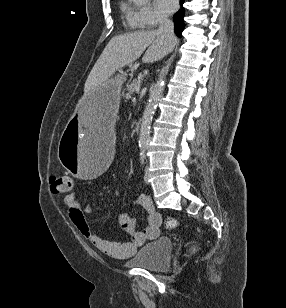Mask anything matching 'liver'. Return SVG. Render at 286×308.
I'll return each instance as SVG.
<instances>
[{
	"label": "liver",
	"mask_w": 286,
	"mask_h": 308,
	"mask_svg": "<svg viewBox=\"0 0 286 308\" xmlns=\"http://www.w3.org/2000/svg\"><path fill=\"white\" fill-rule=\"evenodd\" d=\"M176 44L157 31H137L114 36L92 68L84 86L85 95L107 82L116 71L143 56L144 63H153L170 53Z\"/></svg>",
	"instance_id": "obj_1"
}]
</instances>
